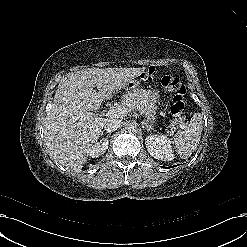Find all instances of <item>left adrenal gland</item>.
<instances>
[{
	"label": "left adrenal gland",
	"mask_w": 247,
	"mask_h": 247,
	"mask_svg": "<svg viewBox=\"0 0 247 247\" xmlns=\"http://www.w3.org/2000/svg\"><path fill=\"white\" fill-rule=\"evenodd\" d=\"M142 127L145 128L146 131H149V130L153 129V126L149 125L146 122H142Z\"/></svg>",
	"instance_id": "1"
}]
</instances>
